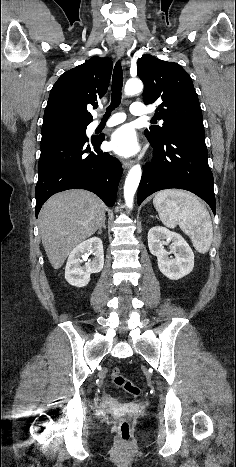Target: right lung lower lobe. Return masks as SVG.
<instances>
[{"label": "right lung lower lobe", "instance_id": "right-lung-lower-lobe-1", "mask_svg": "<svg viewBox=\"0 0 236 467\" xmlns=\"http://www.w3.org/2000/svg\"><path fill=\"white\" fill-rule=\"evenodd\" d=\"M103 137H67L41 143L38 182L35 189L36 217L53 194L68 189H86L112 207L122 175L121 163L100 151Z\"/></svg>", "mask_w": 236, "mask_h": 467}]
</instances>
